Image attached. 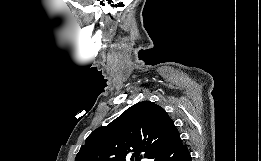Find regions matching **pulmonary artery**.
Segmentation results:
<instances>
[{
    "mask_svg": "<svg viewBox=\"0 0 261 161\" xmlns=\"http://www.w3.org/2000/svg\"><path fill=\"white\" fill-rule=\"evenodd\" d=\"M141 161H149L148 159H146V158H143V159H141Z\"/></svg>",
    "mask_w": 261,
    "mask_h": 161,
    "instance_id": "1",
    "label": "pulmonary artery"
}]
</instances>
